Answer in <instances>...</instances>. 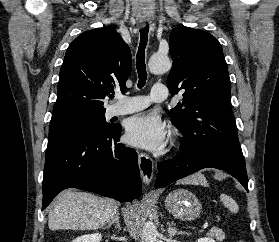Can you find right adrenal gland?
I'll use <instances>...</instances> for the list:
<instances>
[{
  "mask_svg": "<svg viewBox=\"0 0 279 242\" xmlns=\"http://www.w3.org/2000/svg\"><path fill=\"white\" fill-rule=\"evenodd\" d=\"M116 224V228L118 229V231L121 230L120 227V222H119V213H116L114 218L107 224V226L104 229L110 228L111 225Z\"/></svg>",
  "mask_w": 279,
  "mask_h": 242,
  "instance_id": "right-adrenal-gland-1",
  "label": "right adrenal gland"
}]
</instances>
